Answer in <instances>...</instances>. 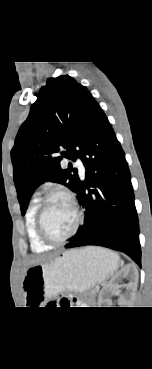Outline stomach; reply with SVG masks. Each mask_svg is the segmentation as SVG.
Returning a JSON list of instances; mask_svg holds the SVG:
<instances>
[{
    "instance_id": "0dacf381",
    "label": "stomach",
    "mask_w": 152,
    "mask_h": 369,
    "mask_svg": "<svg viewBox=\"0 0 152 369\" xmlns=\"http://www.w3.org/2000/svg\"><path fill=\"white\" fill-rule=\"evenodd\" d=\"M119 257L95 247L70 250L61 257L30 266L22 289L28 305H37L65 291L85 292L118 268Z\"/></svg>"
}]
</instances>
